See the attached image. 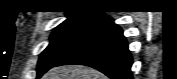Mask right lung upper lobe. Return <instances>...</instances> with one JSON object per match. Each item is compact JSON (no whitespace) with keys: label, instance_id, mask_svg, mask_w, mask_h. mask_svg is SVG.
Returning a JSON list of instances; mask_svg holds the SVG:
<instances>
[{"label":"right lung upper lobe","instance_id":"obj_1","mask_svg":"<svg viewBox=\"0 0 177 79\" xmlns=\"http://www.w3.org/2000/svg\"><path fill=\"white\" fill-rule=\"evenodd\" d=\"M93 7H80L78 9L66 12L68 19L66 21H74L88 18H104L103 12L95 11ZM64 21V22H66Z\"/></svg>","mask_w":177,"mask_h":79}]
</instances>
